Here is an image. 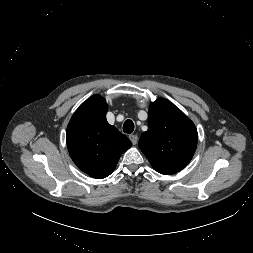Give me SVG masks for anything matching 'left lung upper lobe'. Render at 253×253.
<instances>
[{
  "label": "left lung upper lobe",
  "instance_id": "1",
  "mask_svg": "<svg viewBox=\"0 0 253 253\" xmlns=\"http://www.w3.org/2000/svg\"><path fill=\"white\" fill-rule=\"evenodd\" d=\"M197 139L193 122L170 101L159 98L150 105L148 130L142 133L139 148L157 172L170 175L190 162Z\"/></svg>",
  "mask_w": 253,
  "mask_h": 253
}]
</instances>
